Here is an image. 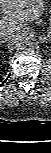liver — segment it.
Segmentation results:
<instances>
[{
	"label": "liver",
	"mask_w": 51,
	"mask_h": 153,
	"mask_svg": "<svg viewBox=\"0 0 51 153\" xmlns=\"http://www.w3.org/2000/svg\"><path fill=\"white\" fill-rule=\"evenodd\" d=\"M45 10L43 0H0V31L21 30L39 19Z\"/></svg>",
	"instance_id": "1"
}]
</instances>
